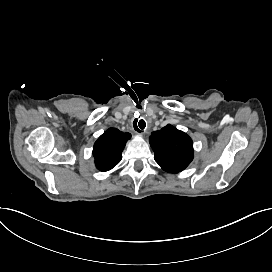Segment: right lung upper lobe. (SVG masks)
<instances>
[{
    "label": "right lung upper lobe",
    "mask_w": 272,
    "mask_h": 272,
    "mask_svg": "<svg viewBox=\"0 0 272 272\" xmlns=\"http://www.w3.org/2000/svg\"><path fill=\"white\" fill-rule=\"evenodd\" d=\"M131 134L122 133L116 128H109L95 142L93 156L100 171H109L121 160V153Z\"/></svg>",
    "instance_id": "cb5924a9"
}]
</instances>
